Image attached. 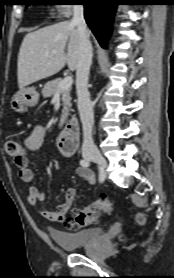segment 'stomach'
Here are the masks:
<instances>
[{
	"mask_svg": "<svg viewBox=\"0 0 174 278\" xmlns=\"http://www.w3.org/2000/svg\"><path fill=\"white\" fill-rule=\"evenodd\" d=\"M39 94L33 87L23 88L16 92L11 99V108L15 112L23 113L28 107H33L38 103Z\"/></svg>",
	"mask_w": 174,
	"mask_h": 278,
	"instance_id": "obj_1",
	"label": "stomach"
}]
</instances>
